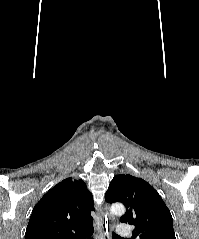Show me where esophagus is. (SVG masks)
I'll use <instances>...</instances> for the list:
<instances>
[{"mask_svg":"<svg viewBox=\"0 0 199 239\" xmlns=\"http://www.w3.org/2000/svg\"><path fill=\"white\" fill-rule=\"evenodd\" d=\"M105 219L101 222L102 239L109 238L110 230L114 225V218L110 215L108 206L105 205Z\"/></svg>","mask_w":199,"mask_h":239,"instance_id":"obj_1","label":"esophagus"}]
</instances>
